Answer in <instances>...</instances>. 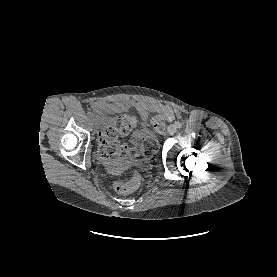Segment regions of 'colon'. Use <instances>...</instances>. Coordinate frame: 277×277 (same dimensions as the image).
Returning a JSON list of instances; mask_svg holds the SVG:
<instances>
[{"instance_id":"5ec220e1","label":"colon","mask_w":277,"mask_h":277,"mask_svg":"<svg viewBox=\"0 0 277 277\" xmlns=\"http://www.w3.org/2000/svg\"><path fill=\"white\" fill-rule=\"evenodd\" d=\"M137 124L133 115H120L111 119L110 124L99 133V154L108 160H129L137 157L135 148L121 144L119 137L129 134ZM158 149L157 142L148 137L145 138L141 153L145 157L153 155ZM140 186L139 176L133 175L128 179L117 180L114 189L118 193L127 194L138 190Z\"/></svg>"}]
</instances>
